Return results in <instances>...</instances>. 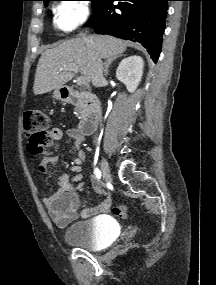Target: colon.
<instances>
[{
  "label": "colon",
  "instance_id": "1",
  "mask_svg": "<svg viewBox=\"0 0 216 285\" xmlns=\"http://www.w3.org/2000/svg\"><path fill=\"white\" fill-rule=\"evenodd\" d=\"M49 118L40 110L27 111L24 114L23 130L28 139V149L31 154H38L48 143ZM128 205L123 203L115 206L112 212L120 218L128 217Z\"/></svg>",
  "mask_w": 216,
  "mask_h": 285
}]
</instances>
